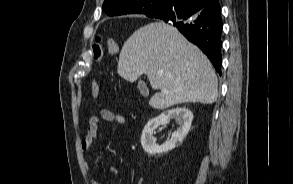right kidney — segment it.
<instances>
[{
	"mask_svg": "<svg viewBox=\"0 0 293 184\" xmlns=\"http://www.w3.org/2000/svg\"><path fill=\"white\" fill-rule=\"evenodd\" d=\"M176 118L179 128L172 133L171 139L159 146L156 144V138L153 137V131L160 125H166L171 119ZM193 120L192 112L183 107L165 111L159 116L151 119L144 127L141 136V145L145 152L150 155L168 152L178 147L185 136L188 134Z\"/></svg>",
	"mask_w": 293,
	"mask_h": 184,
	"instance_id": "obj_1",
	"label": "right kidney"
}]
</instances>
